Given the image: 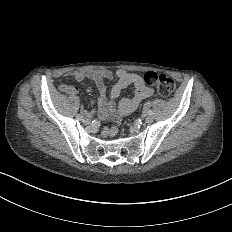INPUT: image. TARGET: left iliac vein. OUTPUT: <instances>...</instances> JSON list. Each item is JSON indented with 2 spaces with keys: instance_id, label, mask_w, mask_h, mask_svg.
I'll return each instance as SVG.
<instances>
[{
  "instance_id": "4c4485c4",
  "label": "left iliac vein",
  "mask_w": 232,
  "mask_h": 232,
  "mask_svg": "<svg viewBox=\"0 0 232 232\" xmlns=\"http://www.w3.org/2000/svg\"><path fill=\"white\" fill-rule=\"evenodd\" d=\"M145 123L146 124H153L154 123V118L153 117H146L145 118Z\"/></svg>"
}]
</instances>
